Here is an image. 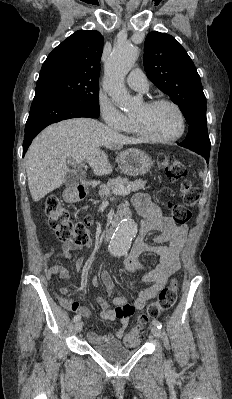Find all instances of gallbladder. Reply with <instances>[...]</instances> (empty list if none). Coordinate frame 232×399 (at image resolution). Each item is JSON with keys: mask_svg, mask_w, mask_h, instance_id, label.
<instances>
[{"mask_svg": "<svg viewBox=\"0 0 232 399\" xmlns=\"http://www.w3.org/2000/svg\"><path fill=\"white\" fill-rule=\"evenodd\" d=\"M71 169V172H67L64 178V184L67 188H75V186H79V180L77 177H79L80 174L85 173V168L81 167L79 163H72Z\"/></svg>", "mask_w": 232, "mask_h": 399, "instance_id": "gallbladder-1", "label": "gallbladder"}]
</instances>
